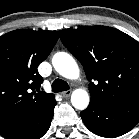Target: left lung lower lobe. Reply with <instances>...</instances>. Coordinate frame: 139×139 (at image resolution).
Returning a JSON list of instances; mask_svg holds the SVG:
<instances>
[{
    "label": "left lung lower lobe",
    "mask_w": 139,
    "mask_h": 139,
    "mask_svg": "<svg viewBox=\"0 0 139 139\" xmlns=\"http://www.w3.org/2000/svg\"><path fill=\"white\" fill-rule=\"evenodd\" d=\"M86 127L102 137H118L130 131L139 122V99L114 105L91 102L81 112Z\"/></svg>",
    "instance_id": "0a47b994"
}]
</instances>
